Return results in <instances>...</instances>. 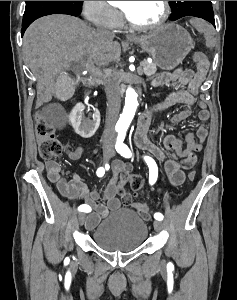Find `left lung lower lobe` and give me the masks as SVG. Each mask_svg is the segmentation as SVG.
<instances>
[{
    "mask_svg": "<svg viewBox=\"0 0 237 300\" xmlns=\"http://www.w3.org/2000/svg\"><path fill=\"white\" fill-rule=\"evenodd\" d=\"M208 22H210L211 24H213V26H215V23H214V17H208L207 19Z\"/></svg>",
    "mask_w": 237,
    "mask_h": 300,
    "instance_id": "1",
    "label": "left lung lower lobe"
}]
</instances>
